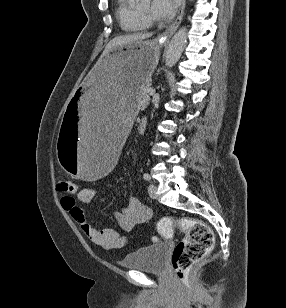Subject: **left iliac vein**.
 Returning <instances> with one entry per match:
<instances>
[{
  "mask_svg": "<svg viewBox=\"0 0 286 308\" xmlns=\"http://www.w3.org/2000/svg\"><path fill=\"white\" fill-rule=\"evenodd\" d=\"M156 191H157L156 185L153 183H150L148 186V194L151 198L155 199L157 197Z\"/></svg>",
  "mask_w": 286,
  "mask_h": 308,
  "instance_id": "1",
  "label": "left iliac vein"
}]
</instances>
